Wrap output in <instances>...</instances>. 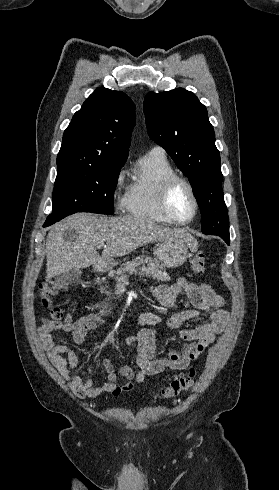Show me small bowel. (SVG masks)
<instances>
[{
    "label": "small bowel",
    "instance_id": "small-bowel-1",
    "mask_svg": "<svg viewBox=\"0 0 279 490\" xmlns=\"http://www.w3.org/2000/svg\"><path fill=\"white\" fill-rule=\"evenodd\" d=\"M182 292L187 295L194 309L173 315L165 322L167 327L177 329L184 322L196 319L201 314L207 315L209 322L181 330L180 337L188 342L185 350L181 353L171 351L167 358L156 359L154 327L161 324L163 319L156 313L142 312L138 317L141 330L137 335L125 340L126 345L136 344L138 346L137 364L140 371L137 376L131 367L122 366L116 371L112 362L109 359H104L102 366L106 373L107 382L95 386L92 377H81L75 373L79 364L76 353L70 347L56 343L54 334L61 331L70 333L77 345L84 344L88 332L95 330L104 322V317L98 313H91L74 322L65 323L43 317L38 327L39 342L51 363L60 375L68 381L70 388L78 397L94 399L103 393L120 395L132 389L131 381L133 379L141 382L146 375L155 374L165 369H186L227 326L229 313L224 308L225 300L206 284L198 285L186 278H180L171 286L160 285L150 290L151 296L165 308L173 307ZM119 377L125 378L128 382L121 385L117 384Z\"/></svg>",
    "mask_w": 279,
    "mask_h": 490
}]
</instances>
